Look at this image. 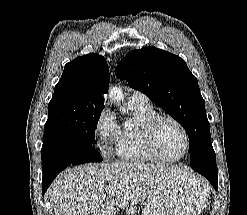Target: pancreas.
Segmentation results:
<instances>
[{"instance_id": "pancreas-1", "label": "pancreas", "mask_w": 247, "mask_h": 215, "mask_svg": "<svg viewBox=\"0 0 247 215\" xmlns=\"http://www.w3.org/2000/svg\"><path fill=\"white\" fill-rule=\"evenodd\" d=\"M128 213H129V215H130V213H133V214L135 215L136 210H135V209H132V210H130Z\"/></svg>"}]
</instances>
